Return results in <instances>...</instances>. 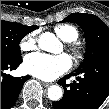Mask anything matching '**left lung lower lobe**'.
Masks as SVG:
<instances>
[{
	"mask_svg": "<svg viewBox=\"0 0 109 109\" xmlns=\"http://www.w3.org/2000/svg\"><path fill=\"white\" fill-rule=\"evenodd\" d=\"M76 76V80L66 84V79ZM64 88V96L60 101L52 102L54 109H98L109 96V59L93 62L85 68L76 70L58 82ZM80 91L75 101L68 99L71 90Z\"/></svg>",
	"mask_w": 109,
	"mask_h": 109,
	"instance_id": "obj_1",
	"label": "left lung lower lobe"
}]
</instances>
